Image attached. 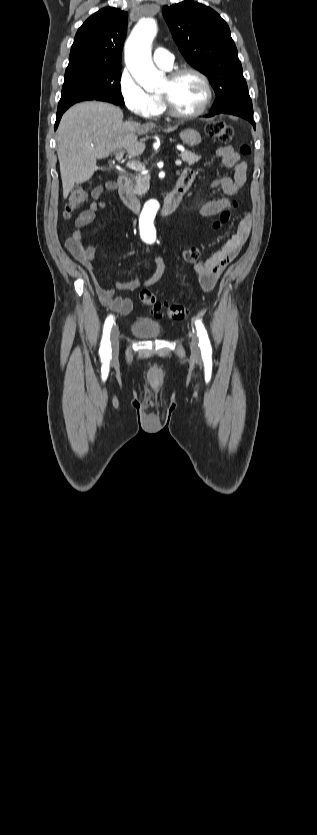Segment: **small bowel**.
Masks as SVG:
<instances>
[{
    "label": "small bowel",
    "mask_w": 317,
    "mask_h": 835,
    "mask_svg": "<svg viewBox=\"0 0 317 835\" xmlns=\"http://www.w3.org/2000/svg\"><path fill=\"white\" fill-rule=\"evenodd\" d=\"M217 157L224 167L233 170L232 176H225L214 179L210 185L213 190L222 191L225 196L213 200H205L201 203L199 212L202 216H214L233 204V197L238 194L247 178V164L240 161L235 149L230 146H222L216 151ZM197 172L192 168H186L181 175V180L189 187L195 182ZM115 188L112 182L99 185L91 193L92 202L84 209L75 220V229L67 240V248L74 254L80 263L87 269L93 282L96 293L103 306L119 314H129L133 309V300L130 297L116 295V291H135L139 288H148L156 284L164 274V264L161 258L155 259V271L150 276L141 275L131 281L115 282L113 287L104 286L95 270L93 248H84L77 251L80 246V239L83 229L94 222L99 209L107 207L106 202L101 200L105 190L113 191ZM251 229V218L245 214L240 221L237 231L225 246L211 255L204 261H191L193 270L198 275L199 283L205 291H210L217 282L225 268L235 259L245 244ZM165 251V248L163 249Z\"/></svg>",
    "instance_id": "small-bowel-1"
}]
</instances>
